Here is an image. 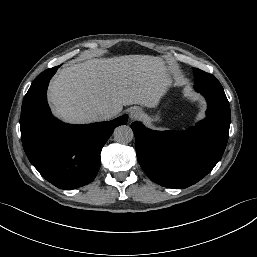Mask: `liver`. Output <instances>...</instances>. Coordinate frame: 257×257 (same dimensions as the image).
Returning a JSON list of instances; mask_svg holds the SVG:
<instances>
[{
  "mask_svg": "<svg viewBox=\"0 0 257 257\" xmlns=\"http://www.w3.org/2000/svg\"><path fill=\"white\" fill-rule=\"evenodd\" d=\"M169 74L159 57L125 55L94 58L62 69L51 81L49 101L67 122L90 123L98 110L140 104L156 107L167 93Z\"/></svg>",
  "mask_w": 257,
  "mask_h": 257,
  "instance_id": "liver-1",
  "label": "liver"
}]
</instances>
